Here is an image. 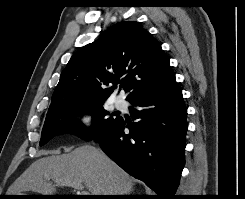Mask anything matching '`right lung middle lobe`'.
Returning a JSON list of instances; mask_svg holds the SVG:
<instances>
[{
    "label": "right lung middle lobe",
    "mask_w": 245,
    "mask_h": 199,
    "mask_svg": "<svg viewBox=\"0 0 245 199\" xmlns=\"http://www.w3.org/2000/svg\"><path fill=\"white\" fill-rule=\"evenodd\" d=\"M103 103L93 104H75L67 106L60 111L47 116L41 134L40 145L46 144L50 139L61 134H74L79 138L90 141L93 136H98L111 123L119 117H109V112L106 111ZM89 113L93 117V126L95 134L90 135L85 126L76 118L78 115Z\"/></svg>",
    "instance_id": "1"
}]
</instances>
